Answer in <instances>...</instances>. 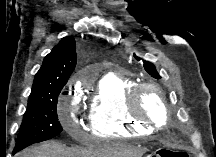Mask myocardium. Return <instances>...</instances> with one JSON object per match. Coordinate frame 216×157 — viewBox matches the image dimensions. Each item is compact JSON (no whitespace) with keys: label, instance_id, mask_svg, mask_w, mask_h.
I'll use <instances>...</instances> for the list:
<instances>
[{"label":"myocardium","instance_id":"obj_1","mask_svg":"<svg viewBox=\"0 0 216 157\" xmlns=\"http://www.w3.org/2000/svg\"><path fill=\"white\" fill-rule=\"evenodd\" d=\"M146 90L156 92L159 103L164 113L163 123H157L151 116L146 114L141 105V99ZM127 109L129 114L138 121L147 123L155 128L165 126L169 120V108L166 103L164 91L156 84L153 83H140L137 84L130 92L127 98Z\"/></svg>","mask_w":216,"mask_h":157}]
</instances>
